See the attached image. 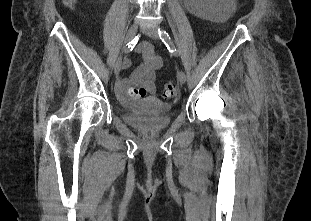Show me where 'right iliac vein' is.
Wrapping results in <instances>:
<instances>
[{
  "label": "right iliac vein",
  "mask_w": 311,
  "mask_h": 221,
  "mask_svg": "<svg viewBox=\"0 0 311 221\" xmlns=\"http://www.w3.org/2000/svg\"><path fill=\"white\" fill-rule=\"evenodd\" d=\"M138 24L137 23H134L133 25L130 26L127 34H126V38H125V42H130L134 37L135 35L137 34L138 32ZM121 66H122V57L120 56L114 66V74L116 76L119 75L120 73V70H121Z\"/></svg>",
  "instance_id": "1"
}]
</instances>
